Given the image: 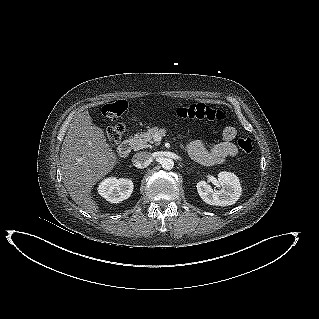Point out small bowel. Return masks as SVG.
Here are the masks:
<instances>
[{"mask_svg": "<svg viewBox=\"0 0 319 319\" xmlns=\"http://www.w3.org/2000/svg\"><path fill=\"white\" fill-rule=\"evenodd\" d=\"M237 135V129L227 126L222 133V141L206 148L202 142L195 140L187 146L190 157L204 166H212L223 163L226 159L235 157L238 153L237 146L233 142Z\"/></svg>", "mask_w": 319, "mask_h": 319, "instance_id": "1", "label": "small bowel"}]
</instances>
